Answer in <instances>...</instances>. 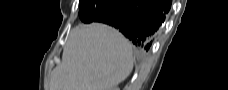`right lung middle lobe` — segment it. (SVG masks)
<instances>
[{
    "label": "right lung middle lobe",
    "mask_w": 228,
    "mask_h": 90,
    "mask_svg": "<svg viewBox=\"0 0 228 90\" xmlns=\"http://www.w3.org/2000/svg\"><path fill=\"white\" fill-rule=\"evenodd\" d=\"M97 0H80L79 1V7H80V11H79V17L81 19V16H82V12H83V9L86 7V6H89L91 3H96Z\"/></svg>",
    "instance_id": "obj_1"
}]
</instances>
